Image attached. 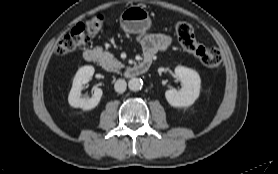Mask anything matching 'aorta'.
<instances>
[{
  "label": "aorta",
  "mask_w": 278,
  "mask_h": 174,
  "mask_svg": "<svg viewBox=\"0 0 278 174\" xmlns=\"http://www.w3.org/2000/svg\"><path fill=\"white\" fill-rule=\"evenodd\" d=\"M128 87L131 91H139L143 87V81L139 78H132L128 82Z\"/></svg>",
  "instance_id": "762f6f07"
}]
</instances>
